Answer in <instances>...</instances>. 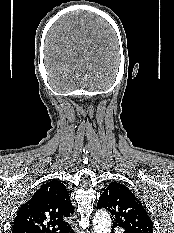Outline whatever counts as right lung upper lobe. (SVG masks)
Here are the masks:
<instances>
[{
	"label": "right lung upper lobe",
	"mask_w": 174,
	"mask_h": 233,
	"mask_svg": "<svg viewBox=\"0 0 174 233\" xmlns=\"http://www.w3.org/2000/svg\"><path fill=\"white\" fill-rule=\"evenodd\" d=\"M73 214L66 186L53 180L45 183L19 209L12 233H69L65 218Z\"/></svg>",
	"instance_id": "cb5924a9"
}]
</instances>
